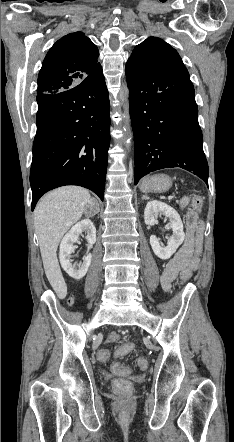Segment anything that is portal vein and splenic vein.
Segmentation results:
<instances>
[{"mask_svg": "<svg viewBox=\"0 0 234 442\" xmlns=\"http://www.w3.org/2000/svg\"><path fill=\"white\" fill-rule=\"evenodd\" d=\"M173 198H174L173 195L168 196V199H169V200H171V199H173Z\"/></svg>", "mask_w": 234, "mask_h": 442, "instance_id": "obj_1", "label": "portal vein and splenic vein"}]
</instances>
